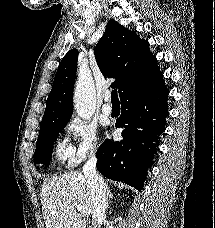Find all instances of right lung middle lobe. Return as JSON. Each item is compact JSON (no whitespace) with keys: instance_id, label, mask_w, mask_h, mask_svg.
<instances>
[{"instance_id":"obj_1","label":"right lung middle lobe","mask_w":215,"mask_h":228,"mask_svg":"<svg viewBox=\"0 0 215 228\" xmlns=\"http://www.w3.org/2000/svg\"><path fill=\"white\" fill-rule=\"evenodd\" d=\"M67 123L68 122H57L40 127V134L34 155L35 163L49 165L53 151V143L57 139L59 132L64 129Z\"/></svg>"}]
</instances>
